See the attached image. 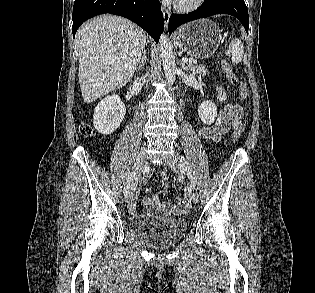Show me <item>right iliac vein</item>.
Wrapping results in <instances>:
<instances>
[{
	"label": "right iliac vein",
	"mask_w": 315,
	"mask_h": 293,
	"mask_svg": "<svg viewBox=\"0 0 315 293\" xmlns=\"http://www.w3.org/2000/svg\"><path fill=\"white\" fill-rule=\"evenodd\" d=\"M144 161H145V147H142L141 150L137 154L136 161L134 164V168L137 175H139V173L143 169ZM135 185H136V182H133L131 190L125 195V201L127 203H130L133 200Z\"/></svg>",
	"instance_id": "63e3f726"
}]
</instances>
